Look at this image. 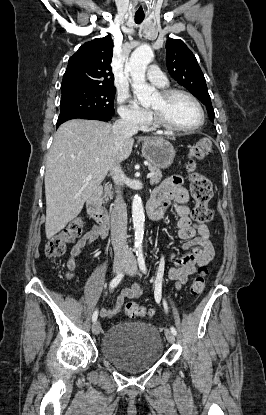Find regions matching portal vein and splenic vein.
Returning <instances> with one entry per match:
<instances>
[{
    "instance_id": "obj_1",
    "label": "portal vein and splenic vein",
    "mask_w": 266,
    "mask_h": 415,
    "mask_svg": "<svg viewBox=\"0 0 266 415\" xmlns=\"http://www.w3.org/2000/svg\"><path fill=\"white\" fill-rule=\"evenodd\" d=\"M153 175H154V173H149V174L147 175V178H151ZM91 178H92V176H91V175H88V176L86 177V180H90Z\"/></svg>"
}]
</instances>
